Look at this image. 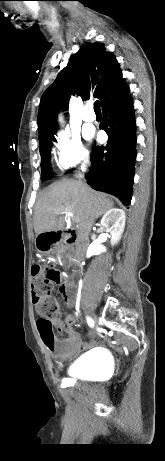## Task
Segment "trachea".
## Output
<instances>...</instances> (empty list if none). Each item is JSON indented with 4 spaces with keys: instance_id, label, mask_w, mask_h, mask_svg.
Instances as JSON below:
<instances>
[{
    "instance_id": "1",
    "label": "trachea",
    "mask_w": 165,
    "mask_h": 461,
    "mask_svg": "<svg viewBox=\"0 0 165 461\" xmlns=\"http://www.w3.org/2000/svg\"><path fill=\"white\" fill-rule=\"evenodd\" d=\"M94 111H95V112H101V109H100V105H99V101H98V100H96V101L94 102Z\"/></svg>"
}]
</instances>
